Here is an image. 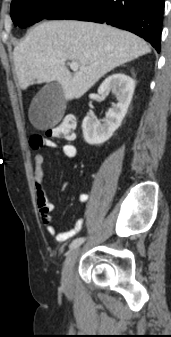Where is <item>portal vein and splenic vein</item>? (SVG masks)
Instances as JSON below:
<instances>
[{"instance_id": "1", "label": "portal vein and splenic vein", "mask_w": 171, "mask_h": 337, "mask_svg": "<svg viewBox=\"0 0 171 337\" xmlns=\"http://www.w3.org/2000/svg\"><path fill=\"white\" fill-rule=\"evenodd\" d=\"M70 68L72 69V70H77V69H85L84 67H81L76 61H72L71 63H70Z\"/></svg>"}]
</instances>
